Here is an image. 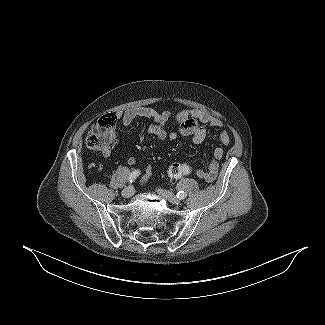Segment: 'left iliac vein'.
<instances>
[{
    "label": "left iliac vein",
    "instance_id": "4c4485c4",
    "mask_svg": "<svg viewBox=\"0 0 325 325\" xmlns=\"http://www.w3.org/2000/svg\"><path fill=\"white\" fill-rule=\"evenodd\" d=\"M157 192L159 195H161L162 197H164L165 199H167L169 202L173 204H178L180 202L179 198H177L174 194H172L169 191L158 188Z\"/></svg>",
    "mask_w": 325,
    "mask_h": 325
}]
</instances>
